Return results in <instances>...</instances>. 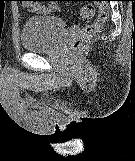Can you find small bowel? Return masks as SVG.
Wrapping results in <instances>:
<instances>
[{
  "label": "small bowel",
  "mask_w": 135,
  "mask_h": 161,
  "mask_svg": "<svg viewBox=\"0 0 135 161\" xmlns=\"http://www.w3.org/2000/svg\"><path fill=\"white\" fill-rule=\"evenodd\" d=\"M22 2L24 3V6L28 8L31 12L47 14L57 9V6L55 4L42 5L37 4L34 1H22Z\"/></svg>",
  "instance_id": "c3829d8e"
}]
</instances>
